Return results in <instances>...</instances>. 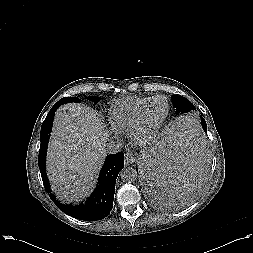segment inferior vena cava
Returning a JSON list of instances; mask_svg holds the SVG:
<instances>
[{
  "instance_id": "obj_1",
  "label": "inferior vena cava",
  "mask_w": 253,
  "mask_h": 253,
  "mask_svg": "<svg viewBox=\"0 0 253 253\" xmlns=\"http://www.w3.org/2000/svg\"><path fill=\"white\" fill-rule=\"evenodd\" d=\"M105 150L109 153H117L121 149V144L116 143L113 140L108 141V143L105 145Z\"/></svg>"
}]
</instances>
